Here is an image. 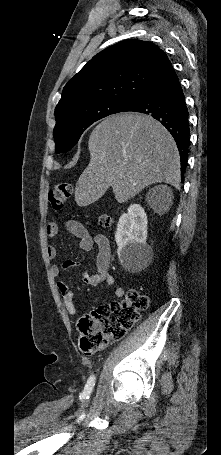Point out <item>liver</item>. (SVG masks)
Listing matches in <instances>:
<instances>
[{
    "mask_svg": "<svg viewBox=\"0 0 221 455\" xmlns=\"http://www.w3.org/2000/svg\"><path fill=\"white\" fill-rule=\"evenodd\" d=\"M88 148L90 162L75 187L78 206L94 203L109 187L118 203L154 183L179 187L177 145L151 116L125 112L105 118L92 131Z\"/></svg>",
    "mask_w": 221,
    "mask_h": 455,
    "instance_id": "obj_1",
    "label": "liver"
}]
</instances>
